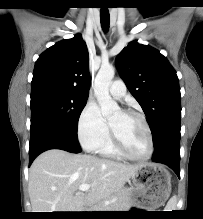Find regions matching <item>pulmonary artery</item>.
<instances>
[{"label": "pulmonary artery", "mask_w": 203, "mask_h": 219, "mask_svg": "<svg viewBox=\"0 0 203 219\" xmlns=\"http://www.w3.org/2000/svg\"><path fill=\"white\" fill-rule=\"evenodd\" d=\"M110 94L114 97H122L126 92L125 84L122 80H115L110 88H109Z\"/></svg>", "instance_id": "e3ab8cb5"}]
</instances>
